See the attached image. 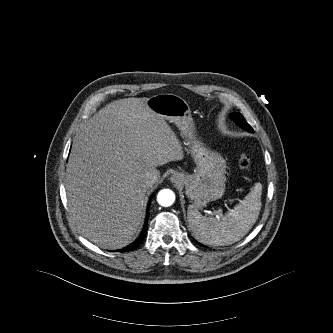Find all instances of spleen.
Masks as SVG:
<instances>
[{"label":"spleen","instance_id":"spleen-1","mask_svg":"<svg viewBox=\"0 0 333 333\" xmlns=\"http://www.w3.org/2000/svg\"><path fill=\"white\" fill-rule=\"evenodd\" d=\"M261 194L262 185L256 183L239 204L219 218L203 216L193 205H189V227L194 236L204 244L231 245L242 239L258 219L262 206Z\"/></svg>","mask_w":333,"mask_h":333}]
</instances>
